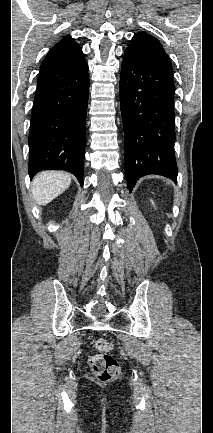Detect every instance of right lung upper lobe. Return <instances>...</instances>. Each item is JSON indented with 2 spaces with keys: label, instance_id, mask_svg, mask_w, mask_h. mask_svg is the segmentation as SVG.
Returning a JSON list of instances; mask_svg holds the SVG:
<instances>
[{
  "label": "right lung upper lobe",
  "instance_id": "right-lung-upper-lobe-1",
  "mask_svg": "<svg viewBox=\"0 0 213 433\" xmlns=\"http://www.w3.org/2000/svg\"><path fill=\"white\" fill-rule=\"evenodd\" d=\"M82 58L84 57L81 47L75 43L71 36H66L50 49L41 64V68L72 63Z\"/></svg>",
  "mask_w": 213,
  "mask_h": 433
}]
</instances>
